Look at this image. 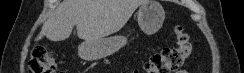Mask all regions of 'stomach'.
I'll return each mask as SVG.
<instances>
[{"label":"stomach","instance_id":"stomach-1","mask_svg":"<svg viewBox=\"0 0 244 73\" xmlns=\"http://www.w3.org/2000/svg\"><path fill=\"white\" fill-rule=\"evenodd\" d=\"M165 11L156 0L144 2L138 12V24L146 34L156 33L162 26ZM127 44V37L112 36L99 40H87L78 47V55L85 60H97L109 56Z\"/></svg>","mask_w":244,"mask_h":73}]
</instances>
